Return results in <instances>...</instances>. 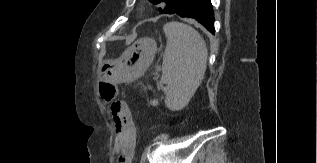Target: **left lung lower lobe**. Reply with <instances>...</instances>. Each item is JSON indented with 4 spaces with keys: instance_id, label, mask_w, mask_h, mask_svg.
<instances>
[{
    "instance_id": "left-lung-lower-lobe-1",
    "label": "left lung lower lobe",
    "mask_w": 317,
    "mask_h": 163,
    "mask_svg": "<svg viewBox=\"0 0 317 163\" xmlns=\"http://www.w3.org/2000/svg\"><path fill=\"white\" fill-rule=\"evenodd\" d=\"M174 13L196 19L214 34V15L210 0H183Z\"/></svg>"
}]
</instances>
